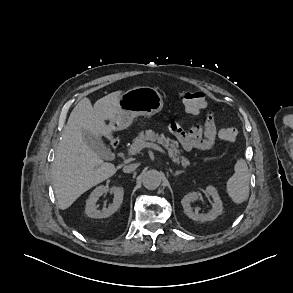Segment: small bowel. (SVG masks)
Masks as SVG:
<instances>
[{
	"instance_id": "obj_1",
	"label": "small bowel",
	"mask_w": 293,
	"mask_h": 293,
	"mask_svg": "<svg viewBox=\"0 0 293 293\" xmlns=\"http://www.w3.org/2000/svg\"><path fill=\"white\" fill-rule=\"evenodd\" d=\"M169 129L186 152L193 149L209 151L216 145L217 128L211 112L207 113L204 120L197 121L188 132L176 121L170 123Z\"/></svg>"
}]
</instances>
